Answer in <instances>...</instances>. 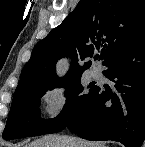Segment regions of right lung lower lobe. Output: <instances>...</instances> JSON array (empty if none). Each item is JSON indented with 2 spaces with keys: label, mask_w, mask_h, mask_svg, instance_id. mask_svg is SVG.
<instances>
[{
  "label": "right lung lower lobe",
  "mask_w": 145,
  "mask_h": 147,
  "mask_svg": "<svg viewBox=\"0 0 145 147\" xmlns=\"http://www.w3.org/2000/svg\"><path fill=\"white\" fill-rule=\"evenodd\" d=\"M114 87H97L85 108L67 125L86 140L119 141L141 147L145 139V29L104 64Z\"/></svg>",
  "instance_id": "right-lung-lower-lobe-1"
}]
</instances>
